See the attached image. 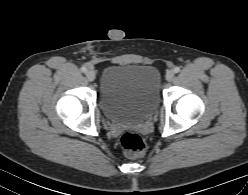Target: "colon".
<instances>
[{
  "label": "colon",
  "instance_id": "colon-1",
  "mask_svg": "<svg viewBox=\"0 0 248 195\" xmlns=\"http://www.w3.org/2000/svg\"><path fill=\"white\" fill-rule=\"evenodd\" d=\"M120 145L128 156H139L146 149L145 139L133 131H126L120 137Z\"/></svg>",
  "mask_w": 248,
  "mask_h": 195
}]
</instances>
